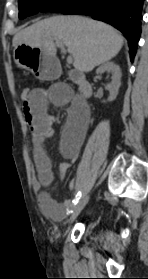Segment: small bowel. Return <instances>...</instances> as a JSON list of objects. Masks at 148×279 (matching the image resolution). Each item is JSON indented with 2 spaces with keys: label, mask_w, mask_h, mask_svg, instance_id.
Returning <instances> with one entry per match:
<instances>
[{
  "label": "small bowel",
  "mask_w": 148,
  "mask_h": 279,
  "mask_svg": "<svg viewBox=\"0 0 148 279\" xmlns=\"http://www.w3.org/2000/svg\"><path fill=\"white\" fill-rule=\"evenodd\" d=\"M72 102L66 123L61 132L60 152L67 159L59 165V176L67 177L68 168L77 160L90 124V111L80 98H74L71 89L62 83L53 84L45 89H35L28 102H23L26 122L33 133V157L39 172L34 180L33 188L38 193L41 210L53 217L61 219L71 205V200L58 202L44 190V186L52 179L51 164L42 149V142L55 133L54 120L48 113V105L64 106Z\"/></svg>",
  "instance_id": "1"
}]
</instances>
